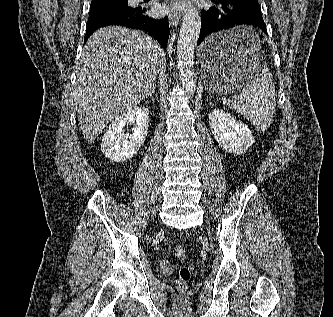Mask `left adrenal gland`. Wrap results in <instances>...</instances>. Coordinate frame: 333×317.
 <instances>
[{
  "mask_svg": "<svg viewBox=\"0 0 333 317\" xmlns=\"http://www.w3.org/2000/svg\"><path fill=\"white\" fill-rule=\"evenodd\" d=\"M208 104H212V101H209V100H208Z\"/></svg>",
  "mask_w": 333,
  "mask_h": 317,
  "instance_id": "left-adrenal-gland-1",
  "label": "left adrenal gland"
}]
</instances>
